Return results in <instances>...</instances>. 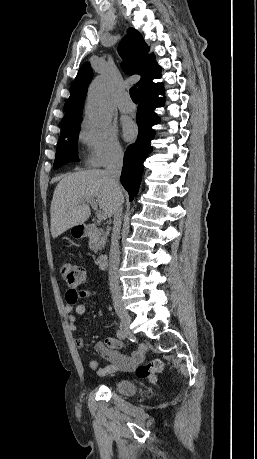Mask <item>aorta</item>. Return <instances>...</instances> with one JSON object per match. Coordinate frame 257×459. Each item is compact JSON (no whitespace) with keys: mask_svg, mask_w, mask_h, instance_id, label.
<instances>
[{"mask_svg":"<svg viewBox=\"0 0 257 459\" xmlns=\"http://www.w3.org/2000/svg\"><path fill=\"white\" fill-rule=\"evenodd\" d=\"M113 86L106 76L95 79L89 89L86 116L97 127H105L112 118Z\"/></svg>","mask_w":257,"mask_h":459,"instance_id":"762f6f07","label":"aorta"}]
</instances>
